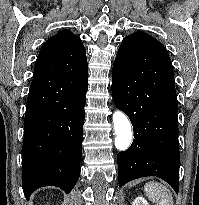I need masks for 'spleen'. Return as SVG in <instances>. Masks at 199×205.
I'll list each match as a JSON object with an SVG mask.
<instances>
[{
  "mask_svg": "<svg viewBox=\"0 0 199 205\" xmlns=\"http://www.w3.org/2000/svg\"><path fill=\"white\" fill-rule=\"evenodd\" d=\"M144 191L156 205H173V196L168 188L159 182H148L144 185Z\"/></svg>",
  "mask_w": 199,
  "mask_h": 205,
  "instance_id": "3e777b00",
  "label": "spleen"
}]
</instances>
